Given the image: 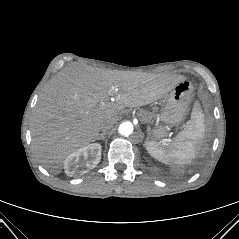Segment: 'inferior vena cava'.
Returning <instances> with one entry per match:
<instances>
[{
  "label": "inferior vena cava",
  "mask_w": 239,
  "mask_h": 239,
  "mask_svg": "<svg viewBox=\"0 0 239 239\" xmlns=\"http://www.w3.org/2000/svg\"><path fill=\"white\" fill-rule=\"evenodd\" d=\"M113 125H114L113 121L104 122V123L101 124L100 130L105 132V131L111 129Z\"/></svg>",
  "instance_id": "602c4592"
}]
</instances>
